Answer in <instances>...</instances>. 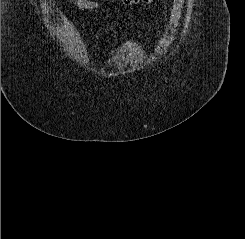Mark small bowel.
Segmentation results:
<instances>
[{
    "label": "small bowel",
    "instance_id": "obj_1",
    "mask_svg": "<svg viewBox=\"0 0 245 239\" xmlns=\"http://www.w3.org/2000/svg\"><path fill=\"white\" fill-rule=\"evenodd\" d=\"M75 4L80 9L96 10L99 4L94 0H74Z\"/></svg>",
    "mask_w": 245,
    "mask_h": 239
}]
</instances>
